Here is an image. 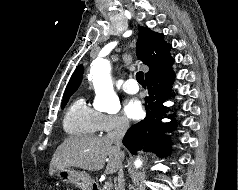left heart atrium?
I'll use <instances>...</instances> for the list:
<instances>
[{
    "instance_id": "left-heart-atrium-1",
    "label": "left heart atrium",
    "mask_w": 238,
    "mask_h": 190,
    "mask_svg": "<svg viewBox=\"0 0 238 190\" xmlns=\"http://www.w3.org/2000/svg\"><path fill=\"white\" fill-rule=\"evenodd\" d=\"M125 111L130 118L139 119L143 114L141 102L137 99L129 100L125 105Z\"/></svg>"
}]
</instances>
